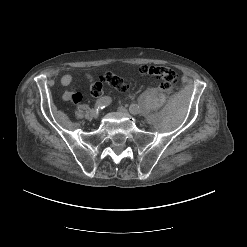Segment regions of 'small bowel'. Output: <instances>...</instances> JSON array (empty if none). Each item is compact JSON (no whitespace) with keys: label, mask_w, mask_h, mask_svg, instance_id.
<instances>
[{"label":"small bowel","mask_w":247,"mask_h":247,"mask_svg":"<svg viewBox=\"0 0 247 247\" xmlns=\"http://www.w3.org/2000/svg\"><path fill=\"white\" fill-rule=\"evenodd\" d=\"M86 78L89 81H92V76L90 74H86ZM72 76L69 74H65L61 77L60 82L63 86H69L72 83ZM62 98L66 101H73L75 103H78L82 100V95L78 92H71V91H66L63 93Z\"/></svg>","instance_id":"c3829d8e"}]
</instances>
